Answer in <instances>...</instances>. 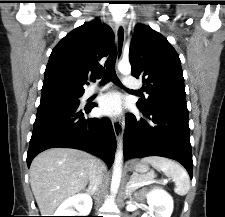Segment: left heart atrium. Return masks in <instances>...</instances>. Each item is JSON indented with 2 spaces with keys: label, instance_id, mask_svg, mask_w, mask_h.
<instances>
[{
  "label": "left heart atrium",
  "instance_id": "1",
  "mask_svg": "<svg viewBox=\"0 0 225 217\" xmlns=\"http://www.w3.org/2000/svg\"><path fill=\"white\" fill-rule=\"evenodd\" d=\"M99 111L101 114L118 117L123 111V99L117 92H109L99 100Z\"/></svg>",
  "mask_w": 225,
  "mask_h": 217
}]
</instances>
